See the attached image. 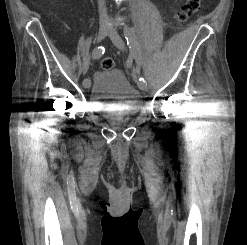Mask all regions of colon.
<instances>
[{"label": "colon", "instance_id": "colon-1", "mask_svg": "<svg viewBox=\"0 0 247 245\" xmlns=\"http://www.w3.org/2000/svg\"><path fill=\"white\" fill-rule=\"evenodd\" d=\"M200 0H184L180 5L176 18L179 22L187 21L193 14H195L200 8ZM115 66V62L111 58H104L101 61V67L103 69H112Z\"/></svg>", "mask_w": 247, "mask_h": 245}]
</instances>
